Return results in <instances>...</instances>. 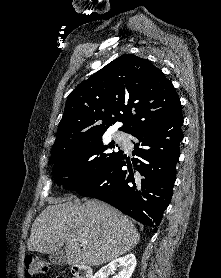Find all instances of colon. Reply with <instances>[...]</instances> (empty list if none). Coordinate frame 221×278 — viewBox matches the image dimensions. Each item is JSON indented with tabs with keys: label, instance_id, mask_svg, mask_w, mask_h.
Instances as JSON below:
<instances>
[{
	"label": "colon",
	"instance_id": "1",
	"mask_svg": "<svg viewBox=\"0 0 221 278\" xmlns=\"http://www.w3.org/2000/svg\"><path fill=\"white\" fill-rule=\"evenodd\" d=\"M48 270L47 265L36 258L26 257L24 260V273L26 278H40V276L46 273ZM55 278H66L65 276L59 275Z\"/></svg>",
	"mask_w": 221,
	"mask_h": 278
}]
</instances>
